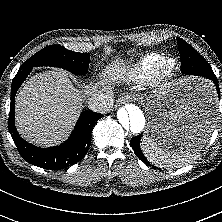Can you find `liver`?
<instances>
[{"instance_id":"obj_1","label":"liver","mask_w":222,"mask_h":222,"mask_svg":"<svg viewBox=\"0 0 222 222\" xmlns=\"http://www.w3.org/2000/svg\"><path fill=\"white\" fill-rule=\"evenodd\" d=\"M128 67L115 61L100 75L98 84L127 80ZM76 88L60 70L38 73L25 82L15 98V121L20 135L39 146L64 141L78 118L85 95H95L96 86ZM84 94V95H83Z\"/></svg>"}]
</instances>
